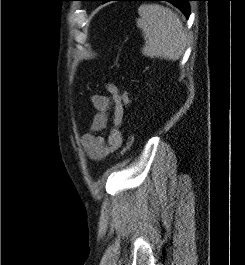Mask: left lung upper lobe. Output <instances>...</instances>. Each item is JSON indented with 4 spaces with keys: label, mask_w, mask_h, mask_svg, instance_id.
<instances>
[{
    "label": "left lung upper lobe",
    "mask_w": 245,
    "mask_h": 265,
    "mask_svg": "<svg viewBox=\"0 0 245 265\" xmlns=\"http://www.w3.org/2000/svg\"><path fill=\"white\" fill-rule=\"evenodd\" d=\"M88 1H104V0H88Z\"/></svg>",
    "instance_id": "obj_1"
}]
</instances>
